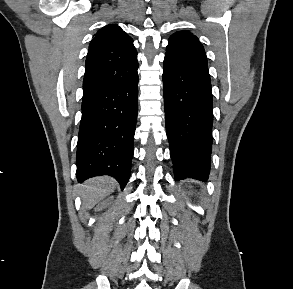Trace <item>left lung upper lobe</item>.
I'll return each instance as SVG.
<instances>
[{
  "label": "left lung upper lobe",
  "mask_w": 293,
  "mask_h": 289,
  "mask_svg": "<svg viewBox=\"0 0 293 289\" xmlns=\"http://www.w3.org/2000/svg\"><path fill=\"white\" fill-rule=\"evenodd\" d=\"M166 57L207 66V57L202 44L188 31L176 32L169 38Z\"/></svg>",
  "instance_id": "1"
}]
</instances>
